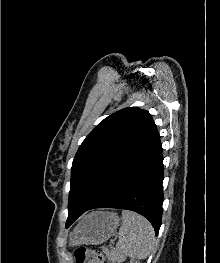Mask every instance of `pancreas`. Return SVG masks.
<instances>
[{
  "label": "pancreas",
  "instance_id": "pancreas-1",
  "mask_svg": "<svg viewBox=\"0 0 220 263\" xmlns=\"http://www.w3.org/2000/svg\"><path fill=\"white\" fill-rule=\"evenodd\" d=\"M103 252L113 262L115 260H120V257L117 256L119 253H117L115 250L109 251L108 249H104ZM115 253H117V254H115Z\"/></svg>",
  "mask_w": 220,
  "mask_h": 263
}]
</instances>
